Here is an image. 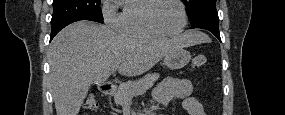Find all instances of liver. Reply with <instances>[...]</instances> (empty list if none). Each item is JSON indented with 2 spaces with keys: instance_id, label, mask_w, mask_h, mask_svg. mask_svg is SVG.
Instances as JSON below:
<instances>
[{
  "instance_id": "1",
  "label": "liver",
  "mask_w": 285,
  "mask_h": 115,
  "mask_svg": "<svg viewBox=\"0 0 285 115\" xmlns=\"http://www.w3.org/2000/svg\"><path fill=\"white\" fill-rule=\"evenodd\" d=\"M203 43L199 32L172 39L116 33L87 21L61 30L49 46L50 81L57 115H78L92 83H104L117 70L138 76L177 48Z\"/></svg>"
}]
</instances>
